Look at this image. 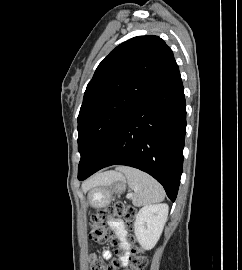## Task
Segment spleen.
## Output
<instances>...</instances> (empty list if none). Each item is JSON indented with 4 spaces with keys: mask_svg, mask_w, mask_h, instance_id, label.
I'll return each mask as SVG.
<instances>
[{
    "mask_svg": "<svg viewBox=\"0 0 242 270\" xmlns=\"http://www.w3.org/2000/svg\"><path fill=\"white\" fill-rule=\"evenodd\" d=\"M119 171L127 179L128 187L132 193V203L135 206H144L164 200L163 187L150 175L131 167H121Z\"/></svg>",
    "mask_w": 242,
    "mask_h": 270,
    "instance_id": "1",
    "label": "spleen"
}]
</instances>
